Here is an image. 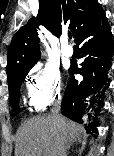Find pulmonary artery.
<instances>
[{"label":"pulmonary artery","instance_id":"1","mask_svg":"<svg viewBox=\"0 0 114 156\" xmlns=\"http://www.w3.org/2000/svg\"><path fill=\"white\" fill-rule=\"evenodd\" d=\"M61 53L65 57H71L73 55V49L68 45L66 38L62 40Z\"/></svg>","mask_w":114,"mask_h":156}]
</instances>
